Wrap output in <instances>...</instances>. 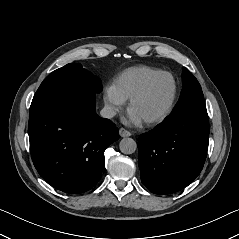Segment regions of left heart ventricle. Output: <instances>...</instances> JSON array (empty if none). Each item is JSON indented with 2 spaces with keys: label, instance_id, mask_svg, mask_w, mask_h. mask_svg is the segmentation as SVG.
Masks as SVG:
<instances>
[{
  "label": "left heart ventricle",
  "instance_id": "1",
  "mask_svg": "<svg viewBox=\"0 0 239 239\" xmlns=\"http://www.w3.org/2000/svg\"><path fill=\"white\" fill-rule=\"evenodd\" d=\"M172 90L173 85L170 78L162 76L152 83L146 93L130 109L143 120L152 117L166 107Z\"/></svg>",
  "mask_w": 239,
  "mask_h": 239
}]
</instances>
